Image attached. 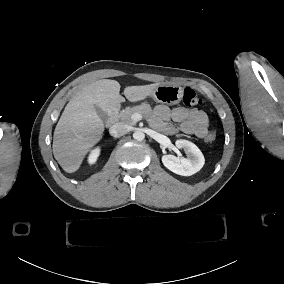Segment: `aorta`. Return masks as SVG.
Segmentation results:
<instances>
[{"mask_svg": "<svg viewBox=\"0 0 284 284\" xmlns=\"http://www.w3.org/2000/svg\"><path fill=\"white\" fill-rule=\"evenodd\" d=\"M133 138L137 141H142L145 138V134L141 131H136L133 133Z\"/></svg>", "mask_w": 284, "mask_h": 284, "instance_id": "1", "label": "aorta"}]
</instances>
